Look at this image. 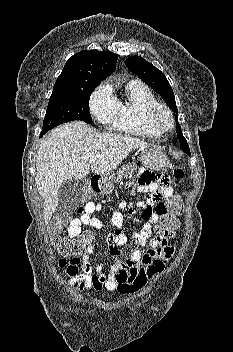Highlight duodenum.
<instances>
[{
	"label": "duodenum",
	"mask_w": 233,
	"mask_h": 352,
	"mask_svg": "<svg viewBox=\"0 0 233 352\" xmlns=\"http://www.w3.org/2000/svg\"><path fill=\"white\" fill-rule=\"evenodd\" d=\"M102 179L100 176H93L91 179V189L93 192L98 193L101 190Z\"/></svg>",
	"instance_id": "1"
}]
</instances>
